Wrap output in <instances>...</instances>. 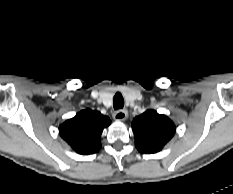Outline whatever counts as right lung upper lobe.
Instances as JSON below:
<instances>
[{
    "mask_svg": "<svg viewBox=\"0 0 233 194\" xmlns=\"http://www.w3.org/2000/svg\"><path fill=\"white\" fill-rule=\"evenodd\" d=\"M111 123L107 116L90 109L82 110L60 126L61 137L79 154L88 155L101 148L100 136Z\"/></svg>",
    "mask_w": 233,
    "mask_h": 194,
    "instance_id": "right-lung-upper-lobe-1",
    "label": "right lung upper lobe"
}]
</instances>
